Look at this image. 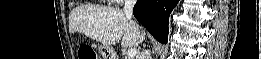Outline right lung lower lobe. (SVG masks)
I'll return each instance as SVG.
<instances>
[{
    "label": "right lung lower lobe",
    "mask_w": 261,
    "mask_h": 59,
    "mask_svg": "<svg viewBox=\"0 0 261 59\" xmlns=\"http://www.w3.org/2000/svg\"><path fill=\"white\" fill-rule=\"evenodd\" d=\"M177 3L178 0H137L134 16L156 40L166 44L169 15Z\"/></svg>",
    "instance_id": "98d812e1"
}]
</instances>
